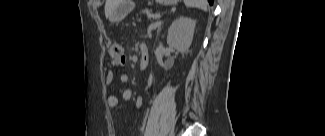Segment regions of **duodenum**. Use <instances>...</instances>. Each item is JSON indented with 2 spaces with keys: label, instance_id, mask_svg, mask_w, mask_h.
Returning <instances> with one entry per match:
<instances>
[{
  "label": "duodenum",
  "instance_id": "obj_1",
  "mask_svg": "<svg viewBox=\"0 0 325 136\" xmlns=\"http://www.w3.org/2000/svg\"><path fill=\"white\" fill-rule=\"evenodd\" d=\"M149 47L146 44H143L140 48V69H145L149 63Z\"/></svg>",
  "mask_w": 325,
  "mask_h": 136
}]
</instances>
